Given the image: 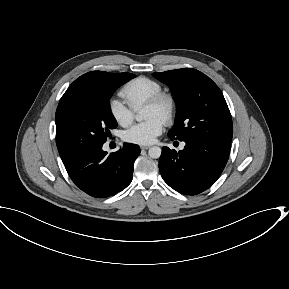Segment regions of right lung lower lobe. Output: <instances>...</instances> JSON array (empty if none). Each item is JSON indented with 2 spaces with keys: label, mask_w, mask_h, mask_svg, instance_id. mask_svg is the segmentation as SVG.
Wrapping results in <instances>:
<instances>
[{
  "label": "right lung lower lobe",
  "mask_w": 289,
  "mask_h": 289,
  "mask_svg": "<svg viewBox=\"0 0 289 289\" xmlns=\"http://www.w3.org/2000/svg\"><path fill=\"white\" fill-rule=\"evenodd\" d=\"M139 154L140 148L134 144L124 143L109 155L101 145L64 165L78 188L90 196L105 198L131 183L133 165Z\"/></svg>",
  "instance_id": "98d812e1"
}]
</instances>
